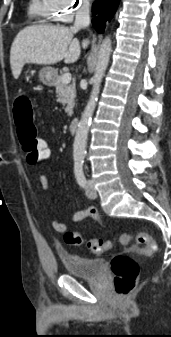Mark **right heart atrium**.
Segmentation results:
<instances>
[{"instance_id":"right-heart-atrium-1","label":"right heart atrium","mask_w":171,"mask_h":337,"mask_svg":"<svg viewBox=\"0 0 171 337\" xmlns=\"http://www.w3.org/2000/svg\"><path fill=\"white\" fill-rule=\"evenodd\" d=\"M55 14V20L70 23L75 16L87 9L86 0H49Z\"/></svg>"}]
</instances>
